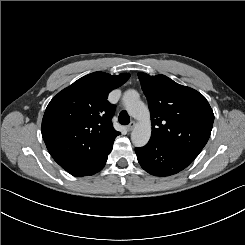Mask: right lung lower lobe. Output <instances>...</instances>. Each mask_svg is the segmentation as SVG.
I'll list each match as a JSON object with an SVG mask.
<instances>
[{
    "label": "right lung lower lobe",
    "mask_w": 245,
    "mask_h": 245,
    "mask_svg": "<svg viewBox=\"0 0 245 245\" xmlns=\"http://www.w3.org/2000/svg\"><path fill=\"white\" fill-rule=\"evenodd\" d=\"M107 158L108 157H106L102 162L97 164L92 171H90L89 173H87L85 175H92V174H95V173L99 172L100 170H102V168L105 166ZM85 175H83V176H85Z\"/></svg>",
    "instance_id": "obj_1"
}]
</instances>
